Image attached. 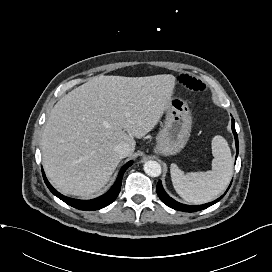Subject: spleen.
Masks as SVG:
<instances>
[{"label":"spleen","mask_w":272,"mask_h":272,"mask_svg":"<svg viewBox=\"0 0 272 272\" xmlns=\"http://www.w3.org/2000/svg\"><path fill=\"white\" fill-rule=\"evenodd\" d=\"M212 170L184 174L176 164L170 173L176 192L187 202L203 204L214 200L227 187L233 173V159L227 141L220 135L211 143Z\"/></svg>","instance_id":"spleen-1"}]
</instances>
